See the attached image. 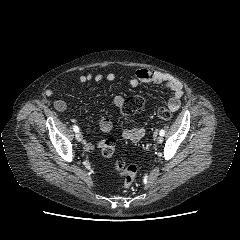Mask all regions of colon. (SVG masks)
<instances>
[{
	"mask_svg": "<svg viewBox=\"0 0 240 240\" xmlns=\"http://www.w3.org/2000/svg\"><path fill=\"white\" fill-rule=\"evenodd\" d=\"M144 104V99L139 94L129 96L122 107L124 114H131L140 109ZM158 117L162 121H169L172 118V112L165 107L158 110ZM116 149V141L114 138H108L102 147V154L106 158L114 155ZM115 170L123 178V187L129 188L135 181L137 168L134 165H128L123 160L118 159L115 163Z\"/></svg>",
	"mask_w": 240,
	"mask_h": 240,
	"instance_id": "1",
	"label": "colon"
}]
</instances>
